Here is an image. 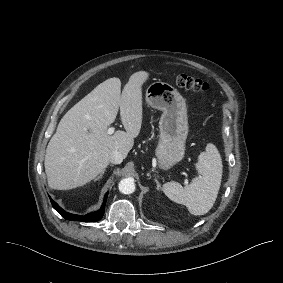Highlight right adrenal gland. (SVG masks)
I'll return each instance as SVG.
<instances>
[{
    "label": "right adrenal gland",
    "mask_w": 283,
    "mask_h": 283,
    "mask_svg": "<svg viewBox=\"0 0 283 283\" xmlns=\"http://www.w3.org/2000/svg\"><path fill=\"white\" fill-rule=\"evenodd\" d=\"M107 169H109V167H105L100 174H98L96 177H94V181H97L99 179H101L104 175V173L107 171Z\"/></svg>",
    "instance_id": "1"
}]
</instances>
